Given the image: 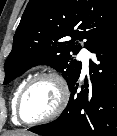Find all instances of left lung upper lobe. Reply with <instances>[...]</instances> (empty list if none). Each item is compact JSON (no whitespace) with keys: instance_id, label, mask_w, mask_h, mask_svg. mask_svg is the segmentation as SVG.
Listing matches in <instances>:
<instances>
[{"instance_id":"left-lung-upper-lobe-1","label":"left lung upper lobe","mask_w":117,"mask_h":136,"mask_svg":"<svg viewBox=\"0 0 117 136\" xmlns=\"http://www.w3.org/2000/svg\"><path fill=\"white\" fill-rule=\"evenodd\" d=\"M116 21L117 0H30L5 62L4 84L46 64L62 72L70 86L82 67L70 54L80 51L78 40L87 39L84 46L90 50Z\"/></svg>"}]
</instances>
